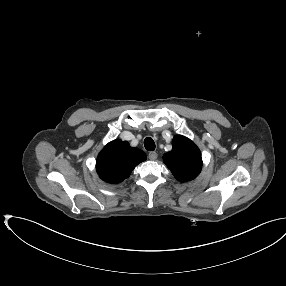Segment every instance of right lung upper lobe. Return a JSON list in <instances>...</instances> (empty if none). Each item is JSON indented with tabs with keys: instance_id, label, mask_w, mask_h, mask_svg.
<instances>
[{
	"instance_id": "right-lung-upper-lobe-1",
	"label": "right lung upper lobe",
	"mask_w": 286,
	"mask_h": 286,
	"mask_svg": "<svg viewBox=\"0 0 286 286\" xmlns=\"http://www.w3.org/2000/svg\"><path fill=\"white\" fill-rule=\"evenodd\" d=\"M146 160V154L128 142L116 139L99 153L96 170L102 180L117 184L128 178L132 170Z\"/></svg>"
}]
</instances>
